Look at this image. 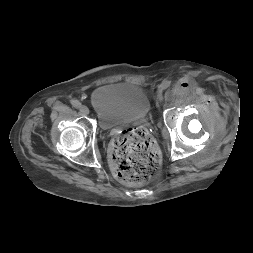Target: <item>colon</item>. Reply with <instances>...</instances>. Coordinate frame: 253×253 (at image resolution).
Wrapping results in <instances>:
<instances>
[{
  "label": "colon",
  "mask_w": 253,
  "mask_h": 253,
  "mask_svg": "<svg viewBox=\"0 0 253 253\" xmlns=\"http://www.w3.org/2000/svg\"><path fill=\"white\" fill-rule=\"evenodd\" d=\"M110 161L114 176L128 185L149 182L160 167L155 142L142 128H129L115 136L110 148Z\"/></svg>",
  "instance_id": "obj_1"
}]
</instances>
